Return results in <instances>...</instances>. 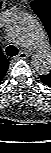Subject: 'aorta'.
<instances>
[{"mask_svg":"<svg viewBox=\"0 0 51 153\" xmlns=\"http://www.w3.org/2000/svg\"><path fill=\"white\" fill-rule=\"evenodd\" d=\"M7 33L14 42L34 50L31 67L37 74L47 75L51 71L49 38L40 22L26 12H16L9 19Z\"/></svg>","mask_w":51,"mask_h":153,"instance_id":"1","label":"aorta"}]
</instances>
